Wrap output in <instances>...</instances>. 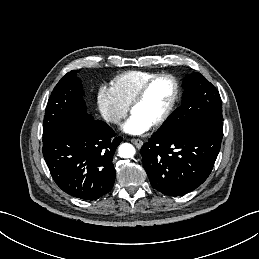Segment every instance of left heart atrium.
Segmentation results:
<instances>
[{"label":"left heart atrium","mask_w":259,"mask_h":259,"mask_svg":"<svg viewBox=\"0 0 259 259\" xmlns=\"http://www.w3.org/2000/svg\"><path fill=\"white\" fill-rule=\"evenodd\" d=\"M150 127L148 122L142 120L138 115L132 114L123 124L122 130L128 134L139 135L148 131Z\"/></svg>","instance_id":"1"}]
</instances>
